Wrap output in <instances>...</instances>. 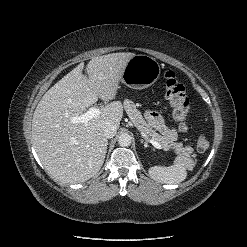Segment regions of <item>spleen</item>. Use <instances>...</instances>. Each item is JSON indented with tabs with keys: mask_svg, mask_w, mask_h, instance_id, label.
Wrapping results in <instances>:
<instances>
[{
	"mask_svg": "<svg viewBox=\"0 0 247 247\" xmlns=\"http://www.w3.org/2000/svg\"><path fill=\"white\" fill-rule=\"evenodd\" d=\"M191 167V160L185 157H178L174 160L173 165L168 167L152 166L148 172L150 177L159 183L178 184L186 179L187 169Z\"/></svg>",
	"mask_w": 247,
	"mask_h": 247,
	"instance_id": "obj_1",
	"label": "spleen"
}]
</instances>
